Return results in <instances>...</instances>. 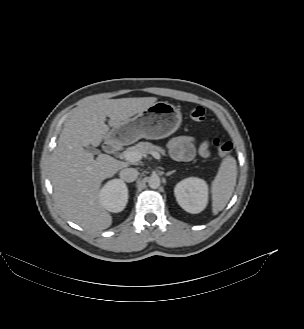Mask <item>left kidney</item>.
Masks as SVG:
<instances>
[{
  "instance_id": "left-kidney-1",
  "label": "left kidney",
  "mask_w": 304,
  "mask_h": 329,
  "mask_svg": "<svg viewBox=\"0 0 304 329\" xmlns=\"http://www.w3.org/2000/svg\"><path fill=\"white\" fill-rule=\"evenodd\" d=\"M174 194L178 204L192 214L203 211L208 203V185L200 178L189 177L180 181Z\"/></svg>"
}]
</instances>
